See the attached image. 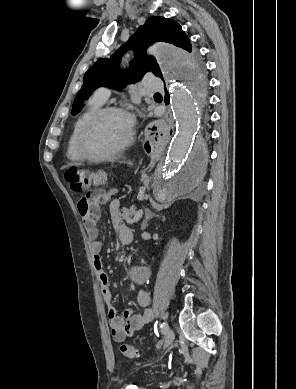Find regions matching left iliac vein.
I'll list each match as a JSON object with an SVG mask.
<instances>
[{"mask_svg": "<svg viewBox=\"0 0 296 389\" xmlns=\"http://www.w3.org/2000/svg\"><path fill=\"white\" fill-rule=\"evenodd\" d=\"M174 340V332L171 329H168L167 332L165 333V339L163 346L164 348L170 346Z\"/></svg>", "mask_w": 296, "mask_h": 389, "instance_id": "4c4485c4", "label": "left iliac vein"}]
</instances>
